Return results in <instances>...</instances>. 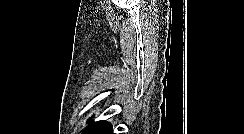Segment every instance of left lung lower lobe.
Instances as JSON below:
<instances>
[{
  "label": "left lung lower lobe",
  "mask_w": 244,
  "mask_h": 134,
  "mask_svg": "<svg viewBox=\"0 0 244 134\" xmlns=\"http://www.w3.org/2000/svg\"><path fill=\"white\" fill-rule=\"evenodd\" d=\"M93 134H113L112 125L109 122H105Z\"/></svg>",
  "instance_id": "left-lung-lower-lobe-1"
}]
</instances>
